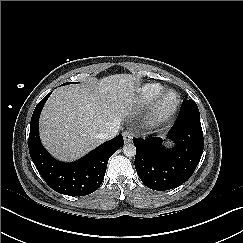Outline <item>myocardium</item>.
I'll list each match as a JSON object with an SVG mask.
<instances>
[{"instance_id": "myocardium-1", "label": "myocardium", "mask_w": 243, "mask_h": 243, "mask_svg": "<svg viewBox=\"0 0 243 243\" xmlns=\"http://www.w3.org/2000/svg\"><path fill=\"white\" fill-rule=\"evenodd\" d=\"M180 101V95L176 90L163 91L150 108L148 113L149 124L157 125L168 120L176 112Z\"/></svg>"}]
</instances>
